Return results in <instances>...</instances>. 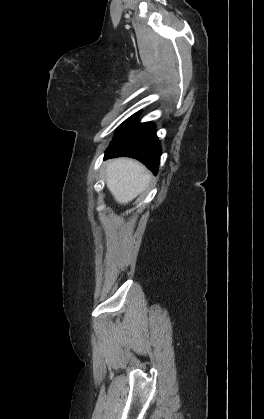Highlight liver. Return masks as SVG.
<instances>
[{"label": "liver", "instance_id": "1", "mask_svg": "<svg viewBox=\"0 0 264 419\" xmlns=\"http://www.w3.org/2000/svg\"><path fill=\"white\" fill-rule=\"evenodd\" d=\"M150 172L138 161L130 158L110 160L106 166V184L115 200L127 204L147 186Z\"/></svg>", "mask_w": 264, "mask_h": 419}]
</instances>
